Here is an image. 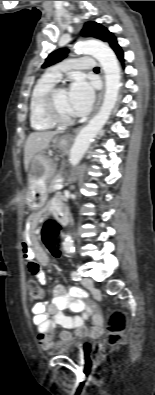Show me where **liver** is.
Instances as JSON below:
<instances>
[{
  "mask_svg": "<svg viewBox=\"0 0 155 395\" xmlns=\"http://www.w3.org/2000/svg\"><path fill=\"white\" fill-rule=\"evenodd\" d=\"M58 133L59 132L57 131L33 132L28 136L24 148V166L26 171L29 170V165L33 157L37 153L48 148L53 137L56 136Z\"/></svg>",
  "mask_w": 155,
  "mask_h": 395,
  "instance_id": "obj_1",
  "label": "liver"
}]
</instances>
